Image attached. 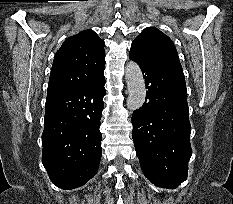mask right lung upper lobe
<instances>
[{"label":"right lung upper lobe","mask_w":233,"mask_h":204,"mask_svg":"<svg viewBox=\"0 0 233 204\" xmlns=\"http://www.w3.org/2000/svg\"><path fill=\"white\" fill-rule=\"evenodd\" d=\"M104 45L92 30L66 39L54 57L47 98L84 86L104 70Z\"/></svg>","instance_id":"1"}]
</instances>
